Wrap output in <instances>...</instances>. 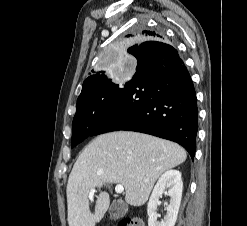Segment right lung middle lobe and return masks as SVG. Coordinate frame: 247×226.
<instances>
[{
	"label": "right lung middle lobe",
	"instance_id": "obj_1",
	"mask_svg": "<svg viewBox=\"0 0 247 226\" xmlns=\"http://www.w3.org/2000/svg\"><path fill=\"white\" fill-rule=\"evenodd\" d=\"M99 79L95 87L78 98L77 110L72 123V147L92 135L122 92L123 88L117 83V78Z\"/></svg>",
	"mask_w": 247,
	"mask_h": 226
}]
</instances>
